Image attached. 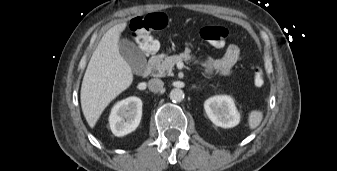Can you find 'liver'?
Masks as SVG:
<instances>
[{
    "label": "liver",
    "instance_id": "liver-1",
    "mask_svg": "<svg viewBox=\"0 0 337 171\" xmlns=\"http://www.w3.org/2000/svg\"><path fill=\"white\" fill-rule=\"evenodd\" d=\"M123 22L110 28L93 52L81 86V107L93 128L104 109L133 82L132 69L119 51Z\"/></svg>",
    "mask_w": 337,
    "mask_h": 171
}]
</instances>
